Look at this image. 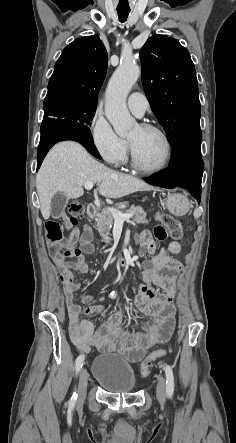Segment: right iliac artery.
I'll use <instances>...</instances> for the list:
<instances>
[{
    "instance_id": "82829eb1",
    "label": "right iliac artery",
    "mask_w": 236,
    "mask_h": 443,
    "mask_svg": "<svg viewBox=\"0 0 236 443\" xmlns=\"http://www.w3.org/2000/svg\"><path fill=\"white\" fill-rule=\"evenodd\" d=\"M110 295L112 296V298L116 297V294H115L114 291L111 292ZM83 364H84V355H79L78 358L76 359V366H75L76 373H78L80 371V369L82 368ZM77 396H78L77 393L74 392L72 397H71V399H70V401H69V405L70 406H74L75 405L76 400H77Z\"/></svg>"
}]
</instances>
